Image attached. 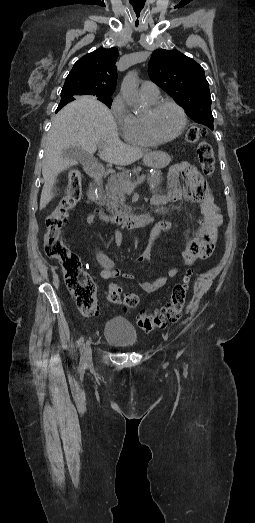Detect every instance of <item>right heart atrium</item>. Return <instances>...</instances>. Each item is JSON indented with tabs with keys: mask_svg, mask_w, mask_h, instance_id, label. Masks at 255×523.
Segmentation results:
<instances>
[{
	"mask_svg": "<svg viewBox=\"0 0 255 523\" xmlns=\"http://www.w3.org/2000/svg\"><path fill=\"white\" fill-rule=\"evenodd\" d=\"M110 111L113 115V117L117 121V127L120 131H122V121L124 117L127 115V110L125 108L124 104V98L122 94H118L112 101L110 106Z\"/></svg>",
	"mask_w": 255,
	"mask_h": 523,
	"instance_id": "1",
	"label": "right heart atrium"
}]
</instances>
